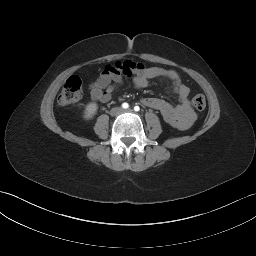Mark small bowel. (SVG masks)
I'll return each instance as SVG.
<instances>
[{
  "mask_svg": "<svg viewBox=\"0 0 256 256\" xmlns=\"http://www.w3.org/2000/svg\"><path fill=\"white\" fill-rule=\"evenodd\" d=\"M123 73L132 75L133 84L137 88L147 87L149 81L157 77L168 79L173 92L179 97V104L173 105L155 97L143 98L142 104L158 111L165 122L176 129L185 130L192 125L196 115L189 101L190 89L182 83L179 73L174 69L149 67L132 61L117 63L111 67V71H102L98 79L90 85L91 99L95 102H109L117 86L123 82Z\"/></svg>",
  "mask_w": 256,
  "mask_h": 256,
  "instance_id": "c3829d8e",
  "label": "small bowel"
}]
</instances>
